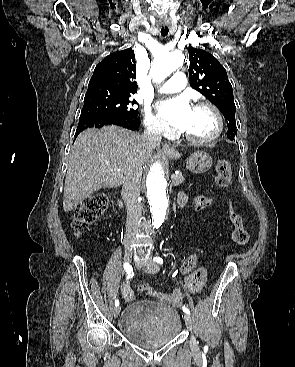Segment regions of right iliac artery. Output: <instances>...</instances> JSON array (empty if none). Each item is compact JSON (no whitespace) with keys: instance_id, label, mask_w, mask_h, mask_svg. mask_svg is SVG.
Returning <instances> with one entry per match:
<instances>
[{"instance_id":"82829eb1","label":"right iliac artery","mask_w":295,"mask_h":367,"mask_svg":"<svg viewBox=\"0 0 295 367\" xmlns=\"http://www.w3.org/2000/svg\"><path fill=\"white\" fill-rule=\"evenodd\" d=\"M124 269L127 273L126 280H128L129 278H131L134 275L133 268L129 263H124ZM115 306H119V300L118 299L115 300Z\"/></svg>"}]
</instances>
